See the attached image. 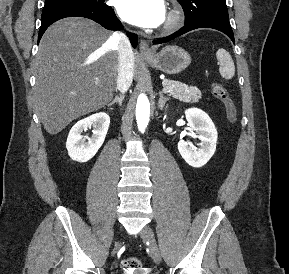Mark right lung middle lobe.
Here are the masks:
<instances>
[{"label": "right lung middle lobe", "instance_id": "right-lung-middle-lobe-1", "mask_svg": "<svg viewBox=\"0 0 289 274\" xmlns=\"http://www.w3.org/2000/svg\"><path fill=\"white\" fill-rule=\"evenodd\" d=\"M103 0H45L43 10L63 6H82L93 9H103L107 5L102 3Z\"/></svg>", "mask_w": 289, "mask_h": 274}]
</instances>
